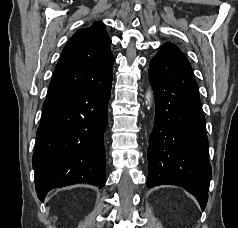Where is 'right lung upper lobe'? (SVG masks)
Returning <instances> with one entry per match:
<instances>
[{"label":"right lung upper lobe","instance_id":"obj_1","mask_svg":"<svg viewBox=\"0 0 238 228\" xmlns=\"http://www.w3.org/2000/svg\"><path fill=\"white\" fill-rule=\"evenodd\" d=\"M111 39L102 22L78 30L65 45L51 79L47 97L83 89L112 71Z\"/></svg>","mask_w":238,"mask_h":228}]
</instances>
